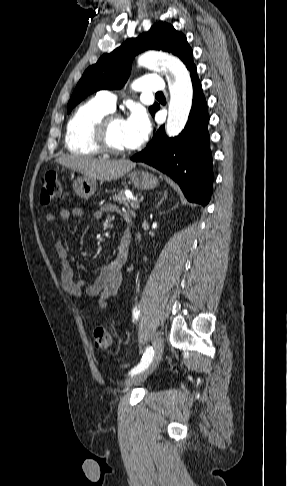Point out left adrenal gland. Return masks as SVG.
<instances>
[{"label":"left adrenal gland","instance_id":"left-adrenal-gland-1","mask_svg":"<svg viewBox=\"0 0 287 486\" xmlns=\"http://www.w3.org/2000/svg\"><path fill=\"white\" fill-rule=\"evenodd\" d=\"M167 198V192L164 193L162 199L158 202L156 208L160 207V205L162 204V202Z\"/></svg>","mask_w":287,"mask_h":486}]
</instances>
